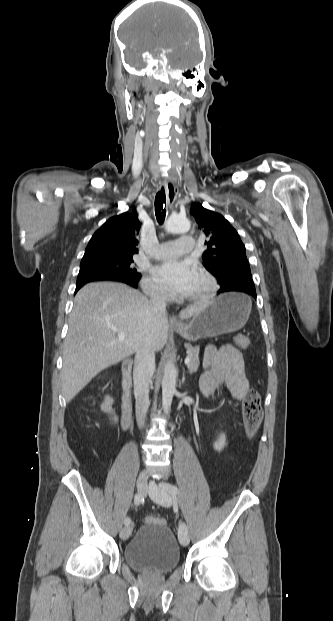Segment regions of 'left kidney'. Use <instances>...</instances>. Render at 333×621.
Segmentation results:
<instances>
[{
  "label": "left kidney",
  "mask_w": 333,
  "mask_h": 621,
  "mask_svg": "<svg viewBox=\"0 0 333 621\" xmlns=\"http://www.w3.org/2000/svg\"><path fill=\"white\" fill-rule=\"evenodd\" d=\"M225 445V436L221 435L220 439L214 444V449L221 451Z\"/></svg>",
  "instance_id": "5707ae66"
}]
</instances>
